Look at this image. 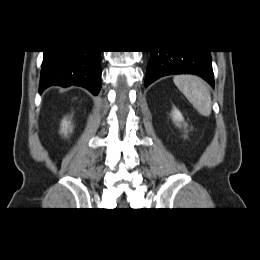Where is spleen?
Returning a JSON list of instances; mask_svg holds the SVG:
<instances>
[{"mask_svg":"<svg viewBox=\"0 0 260 260\" xmlns=\"http://www.w3.org/2000/svg\"><path fill=\"white\" fill-rule=\"evenodd\" d=\"M173 81L201 115L210 116L211 95L206 83L201 78L193 75H178L174 77Z\"/></svg>","mask_w":260,"mask_h":260,"instance_id":"3e777b00","label":"spleen"}]
</instances>
